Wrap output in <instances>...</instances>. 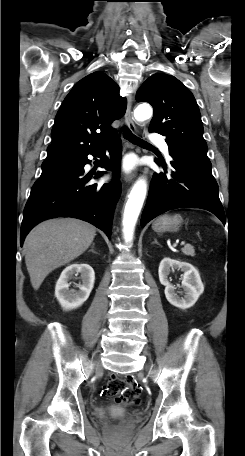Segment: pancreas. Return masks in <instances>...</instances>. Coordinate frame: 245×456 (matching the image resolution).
I'll list each match as a JSON object with an SVG mask.
<instances>
[{
  "label": "pancreas",
  "mask_w": 245,
  "mask_h": 456,
  "mask_svg": "<svg viewBox=\"0 0 245 456\" xmlns=\"http://www.w3.org/2000/svg\"><path fill=\"white\" fill-rule=\"evenodd\" d=\"M181 250H182V253L187 256L193 257L195 255L194 247L191 245H185Z\"/></svg>",
  "instance_id": "pancreas-1"
}]
</instances>
